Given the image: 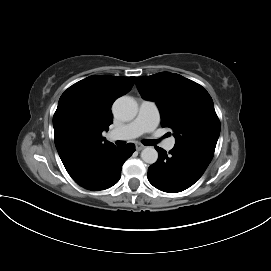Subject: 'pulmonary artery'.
Segmentation results:
<instances>
[{
    "label": "pulmonary artery",
    "mask_w": 271,
    "mask_h": 271,
    "mask_svg": "<svg viewBox=\"0 0 271 271\" xmlns=\"http://www.w3.org/2000/svg\"><path fill=\"white\" fill-rule=\"evenodd\" d=\"M160 120L159 110L154 102L142 101L137 117L121 129L111 132L113 138L131 139L143 133L153 131ZM175 145V138H168L164 141L163 147L171 150Z\"/></svg>",
    "instance_id": "pulmonary-artery-1"
}]
</instances>
